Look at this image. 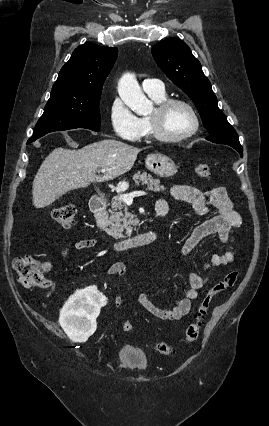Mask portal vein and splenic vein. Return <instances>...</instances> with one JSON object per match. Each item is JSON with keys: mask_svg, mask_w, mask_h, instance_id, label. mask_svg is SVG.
Returning a JSON list of instances; mask_svg holds the SVG:
<instances>
[{"mask_svg": "<svg viewBox=\"0 0 269 426\" xmlns=\"http://www.w3.org/2000/svg\"><path fill=\"white\" fill-rule=\"evenodd\" d=\"M102 173L106 172V169H101ZM147 193L144 191H135V192H131L129 194H121L120 196H118V199L126 204H131L133 202V198L137 197V196H144Z\"/></svg>", "mask_w": 269, "mask_h": 426, "instance_id": "obj_1", "label": "portal vein and splenic vein"}]
</instances>
